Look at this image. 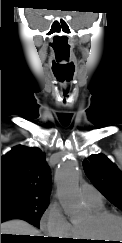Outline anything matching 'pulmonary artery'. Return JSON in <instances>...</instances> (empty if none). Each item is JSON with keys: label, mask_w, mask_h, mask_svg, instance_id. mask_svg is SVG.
Returning <instances> with one entry per match:
<instances>
[{"label": "pulmonary artery", "mask_w": 122, "mask_h": 243, "mask_svg": "<svg viewBox=\"0 0 122 243\" xmlns=\"http://www.w3.org/2000/svg\"><path fill=\"white\" fill-rule=\"evenodd\" d=\"M82 197L88 205H98L102 203L101 193L89 184H82L80 186Z\"/></svg>", "instance_id": "pulmonary-artery-1"}]
</instances>
